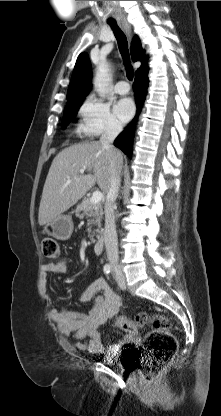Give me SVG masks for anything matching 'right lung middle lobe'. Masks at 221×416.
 <instances>
[{"label":"right lung middle lobe","instance_id":"obj_1","mask_svg":"<svg viewBox=\"0 0 221 416\" xmlns=\"http://www.w3.org/2000/svg\"><path fill=\"white\" fill-rule=\"evenodd\" d=\"M82 100L83 99L73 101V102H68L65 112H64L63 127H66L69 124L70 118H72L71 120L74 121L75 114L78 111L80 105L82 104L81 103Z\"/></svg>","mask_w":221,"mask_h":416}]
</instances>
